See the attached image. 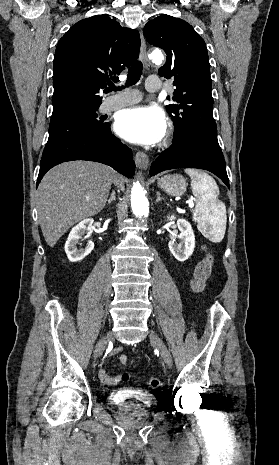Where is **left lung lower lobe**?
Here are the masks:
<instances>
[{
  "mask_svg": "<svg viewBox=\"0 0 279 465\" xmlns=\"http://www.w3.org/2000/svg\"><path fill=\"white\" fill-rule=\"evenodd\" d=\"M175 168H198L217 175L229 186L226 163L221 148L214 147L200 139L185 137L173 144L152 163L150 175Z\"/></svg>",
  "mask_w": 279,
  "mask_h": 465,
  "instance_id": "1",
  "label": "left lung lower lobe"
}]
</instances>
